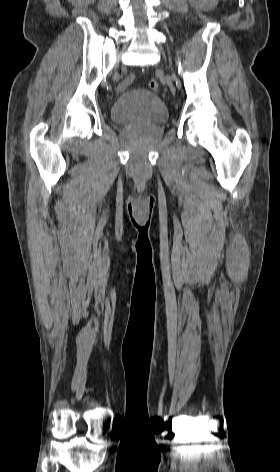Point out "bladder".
Segmentation results:
<instances>
[{
  "mask_svg": "<svg viewBox=\"0 0 280 472\" xmlns=\"http://www.w3.org/2000/svg\"><path fill=\"white\" fill-rule=\"evenodd\" d=\"M110 114L118 124L160 125L168 120V111L161 99L140 88L121 94L113 102Z\"/></svg>",
  "mask_w": 280,
  "mask_h": 472,
  "instance_id": "bladder-1",
  "label": "bladder"
}]
</instances>
